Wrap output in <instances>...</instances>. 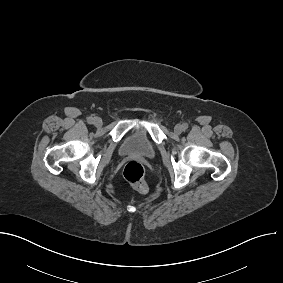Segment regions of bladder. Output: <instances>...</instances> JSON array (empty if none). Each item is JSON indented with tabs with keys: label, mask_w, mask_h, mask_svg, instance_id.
I'll return each instance as SVG.
<instances>
[{
	"label": "bladder",
	"mask_w": 283,
	"mask_h": 283,
	"mask_svg": "<svg viewBox=\"0 0 283 283\" xmlns=\"http://www.w3.org/2000/svg\"><path fill=\"white\" fill-rule=\"evenodd\" d=\"M118 152L121 156L153 158L156 147L146 129L136 127L124 136Z\"/></svg>",
	"instance_id": "31cf9c89"
}]
</instances>
